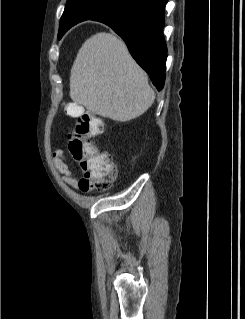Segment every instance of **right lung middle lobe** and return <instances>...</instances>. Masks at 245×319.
Masks as SVG:
<instances>
[{"mask_svg":"<svg viewBox=\"0 0 245 319\" xmlns=\"http://www.w3.org/2000/svg\"><path fill=\"white\" fill-rule=\"evenodd\" d=\"M127 0H84L82 1L81 7H83L87 12L95 17L115 9L116 7L122 5ZM88 20V19H87ZM66 27L59 28V34L63 35Z\"/></svg>","mask_w":245,"mask_h":319,"instance_id":"1","label":"right lung middle lobe"}]
</instances>
